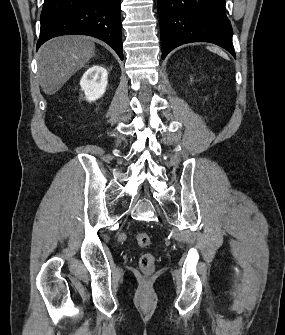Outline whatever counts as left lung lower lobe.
I'll use <instances>...</instances> for the list:
<instances>
[{
	"label": "left lung lower lobe",
	"instance_id": "left-lung-lower-lobe-1",
	"mask_svg": "<svg viewBox=\"0 0 285 335\" xmlns=\"http://www.w3.org/2000/svg\"><path fill=\"white\" fill-rule=\"evenodd\" d=\"M162 59L191 42L217 44L235 57L225 0H158Z\"/></svg>",
	"mask_w": 285,
	"mask_h": 335
}]
</instances>
